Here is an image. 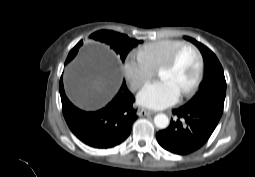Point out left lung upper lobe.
<instances>
[{"label": "left lung upper lobe", "mask_w": 255, "mask_h": 177, "mask_svg": "<svg viewBox=\"0 0 255 177\" xmlns=\"http://www.w3.org/2000/svg\"><path fill=\"white\" fill-rule=\"evenodd\" d=\"M184 38L194 43L202 53L205 64L204 80L196 95L184 105L186 108L211 107L223 112L226 95V81L223 68L216 55L193 38Z\"/></svg>", "instance_id": "obj_1"}]
</instances>
